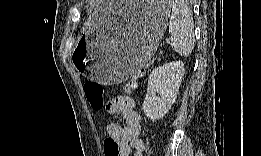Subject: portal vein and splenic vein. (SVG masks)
<instances>
[{
    "label": "portal vein and splenic vein",
    "mask_w": 261,
    "mask_h": 156,
    "mask_svg": "<svg viewBox=\"0 0 261 156\" xmlns=\"http://www.w3.org/2000/svg\"><path fill=\"white\" fill-rule=\"evenodd\" d=\"M166 43H170V40H169V39H166Z\"/></svg>",
    "instance_id": "portal-vein-and-splenic-vein-1"
}]
</instances>
